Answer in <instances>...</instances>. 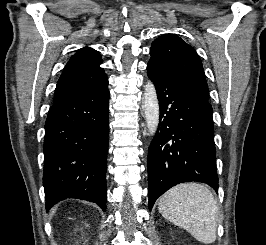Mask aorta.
<instances>
[{
	"mask_svg": "<svg viewBox=\"0 0 266 245\" xmlns=\"http://www.w3.org/2000/svg\"><path fill=\"white\" fill-rule=\"evenodd\" d=\"M144 114L148 135L153 137L159 125L160 106L155 84H153L152 80H147L146 84H144Z\"/></svg>",
	"mask_w": 266,
	"mask_h": 245,
	"instance_id": "1",
	"label": "aorta"
}]
</instances>
